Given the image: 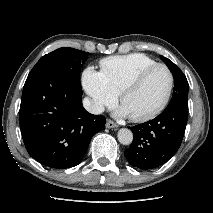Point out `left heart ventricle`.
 Here are the masks:
<instances>
[{
  "mask_svg": "<svg viewBox=\"0 0 213 213\" xmlns=\"http://www.w3.org/2000/svg\"><path fill=\"white\" fill-rule=\"evenodd\" d=\"M169 76L164 69H156L149 73L142 82L129 92L122 107L129 116L145 114L156 107L166 94Z\"/></svg>",
  "mask_w": 213,
  "mask_h": 213,
  "instance_id": "b2bd125f",
  "label": "left heart ventricle"
}]
</instances>
